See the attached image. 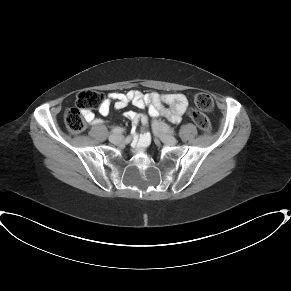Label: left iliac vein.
<instances>
[{
  "instance_id": "1",
  "label": "left iliac vein",
  "mask_w": 291,
  "mask_h": 291,
  "mask_svg": "<svg viewBox=\"0 0 291 291\" xmlns=\"http://www.w3.org/2000/svg\"><path fill=\"white\" fill-rule=\"evenodd\" d=\"M155 134L158 135V137L167 145H175L177 143V139L172 136L171 134L166 133L162 125L157 123L153 126Z\"/></svg>"
}]
</instances>
